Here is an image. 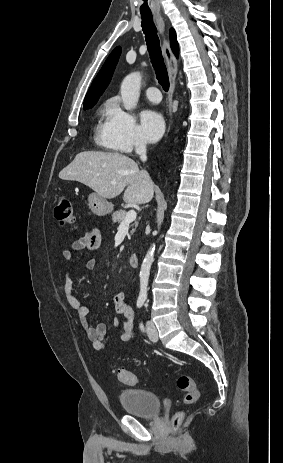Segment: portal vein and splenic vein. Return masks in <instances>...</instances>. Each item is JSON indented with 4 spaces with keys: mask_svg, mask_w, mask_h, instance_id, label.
I'll list each match as a JSON object with an SVG mask.
<instances>
[{
    "mask_svg": "<svg viewBox=\"0 0 283 463\" xmlns=\"http://www.w3.org/2000/svg\"><path fill=\"white\" fill-rule=\"evenodd\" d=\"M112 184H114V182H112ZM136 215L137 214L135 210H129L126 214L124 221L121 223V225L129 224L133 222L136 219Z\"/></svg>",
    "mask_w": 283,
    "mask_h": 463,
    "instance_id": "obj_1",
    "label": "portal vein and splenic vein"
}]
</instances>
